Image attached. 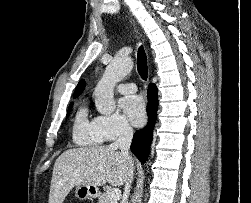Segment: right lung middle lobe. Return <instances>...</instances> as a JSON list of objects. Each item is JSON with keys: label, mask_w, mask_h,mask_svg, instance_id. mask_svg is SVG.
I'll list each match as a JSON object with an SVG mask.
<instances>
[{"label": "right lung middle lobe", "mask_w": 251, "mask_h": 203, "mask_svg": "<svg viewBox=\"0 0 251 203\" xmlns=\"http://www.w3.org/2000/svg\"><path fill=\"white\" fill-rule=\"evenodd\" d=\"M72 108V104L69 106V109H68V114H69V112H70V109Z\"/></svg>", "instance_id": "dd1d6c3e"}]
</instances>
